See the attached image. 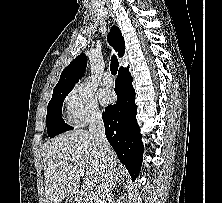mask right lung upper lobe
<instances>
[{"label":"right lung upper lobe","instance_id":"right-lung-upper-lobe-1","mask_svg":"<svg viewBox=\"0 0 222 203\" xmlns=\"http://www.w3.org/2000/svg\"><path fill=\"white\" fill-rule=\"evenodd\" d=\"M108 42L116 49L119 56L125 53L124 38L118 27L113 26L108 35ZM87 66L86 55L80 54L77 56L61 73L60 79L53 89V92L71 89L75 83L82 78ZM122 68V67H121Z\"/></svg>","mask_w":222,"mask_h":203}]
</instances>
